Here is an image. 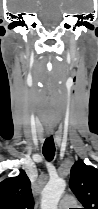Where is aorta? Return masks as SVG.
<instances>
[{
    "label": "aorta",
    "instance_id": "aorta-1",
    "mask_svg": "<svg viewBox=\"0 0 98 209\" xmlns=\"http://www.w3.org/2000/svg\"><path fill=\"white\" fill-rule=\"evenodd\" d=\"M65 188L64 179H50L42 192L41 209H58V203Z\"/></svg>",
    "mask_w": 98,
    "mask_h": 209
}]
</instances>
